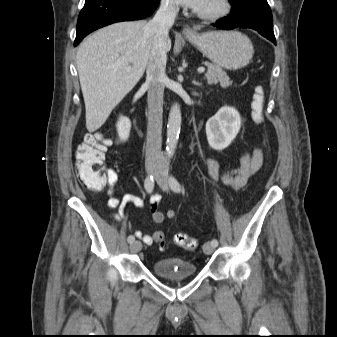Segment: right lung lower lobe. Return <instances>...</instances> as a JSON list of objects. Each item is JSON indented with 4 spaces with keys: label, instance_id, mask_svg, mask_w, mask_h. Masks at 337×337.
Returning <instances> with one entry per match:
<instances>
[{
    "label": "right lung lower lobe",
    "instance_id": "right-lung-lower-lobe-1",
    "mask_svg": "<svg viewBox=\"0 0 337 337\" xmlns=\"http://www.w3.org/2000/svg\"><path fill=\"white\" fill-rule=\"evenodd\" d=\"M160 0H86L77 22L74 45L106 25L143 19L158 7Z\"/></svg>",
    "mask_w": 337,
    "mask_h": 337
}]
</instances>
